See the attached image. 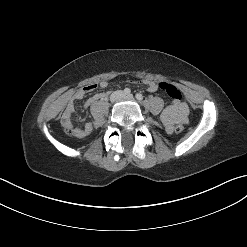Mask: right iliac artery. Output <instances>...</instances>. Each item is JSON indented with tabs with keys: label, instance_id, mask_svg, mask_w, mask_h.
Instances as JSON below:
<instances>
[{
	"label": "right iliac artery",
	"instance_id": "obj_1",
	"mask_svg": "<svg viewBox=\"0 0 247 247\" xmlns=\"http://www.w3.org/2000/svg\"><path fill=\"white\" fill-rule=\"evenodd\" d=\"M124 93H125L126 95H129V94L131 93V90H130L129 88H125V89H124Z\"/></svg>",
	"mask_w": 247,
	"mask_h": 247
}]
</instances>
